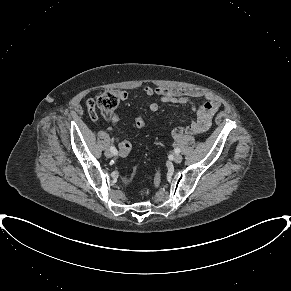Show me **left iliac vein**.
Returning a JSON list of instances; mask_svg holds the SVG:
<instances>
[{"mask_svg":"<svg viewBox=\"0 0 291 291\" xmlns=\"http://www.w3.org/2000/svg\"><path fill=\"white\" fill-rule=\"evenodd\" d=\"M182 160H183V157L180 154H175L174 157H173V161L175 163H180V162H182Z\"/></svg>","mask_w":291,"mask_h":291,"instance_id":"4c4485c4","label":"left iliac vein"}]
</instances>
